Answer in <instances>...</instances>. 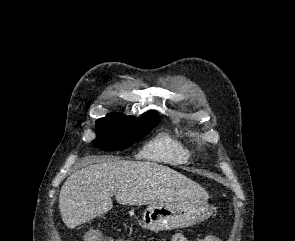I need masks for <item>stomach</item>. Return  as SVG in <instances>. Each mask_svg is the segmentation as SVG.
<instances>
[{
    "instance_id": "0dacf381",
    "label": "stomach",
    "mask_w": 295,
    "mask_h": 241,
    "mask_svg": "<svg viewBox=\"0 0 295 241\" xmlns=\"http://www.w3.org/2000/svg\"><path fill=\"white\" fill-rule=\"evenodd\" d=\"M211 214L207 199L193 198L186 202L151 204L142 214V223L144 228L159 232L193 226Z\"/></svg>"
}]
</instances>
